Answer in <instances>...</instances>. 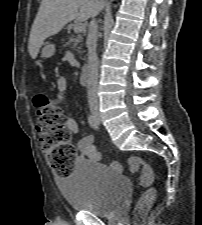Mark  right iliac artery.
I'll return each instance as SVG.
<instances>
[{
  "instance_id": "82829eb1",
  "label": "right iliac artery",
  "mask_w": 202,
  "mask_h": 225,
  "mask_svg": "<svg viewBox=\"0 0 202 225\" xmlns=\"http://www.w3.org/2000/svg\"><path fill=\"white\" fill-rule=\"evenodd\" d=\"M87 119H88V123H89L90 127H92L95 130L99 129L98 123H97V121H96V119H95V117L93 115H91V114L88 115Z\"/></svg>"
}]
</instances>
